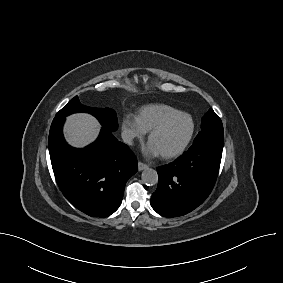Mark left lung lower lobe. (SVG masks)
Wrapping results in <instances>:
<instances>
[{
  "label": "left lung lower lobe",
  "mask_w": 283,
  "mask_h": 283,
  "mask_svg": "<svg viewBox=\"0 0 283 283\" xmlns=\"http://www.w3.org/2000/svg\"><path fill=\"white\" fill-rule=\"evenodd\" d=\"M222 150L212 142H196L175 162L158 167L152 208L162 216L177 217L201 205L215 185Z\"/></svg>",
  "instance_id": "obj_1"
}]
</instances>
